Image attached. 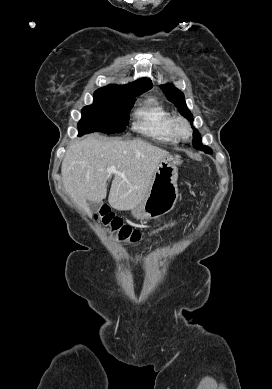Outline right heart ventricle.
I'll list each match as a JSON object with an SVG mask.
<instances>
[{
  "mask_svg": "<svg viewBox=\"0 0 272 389\" xmlns=\"http://www.w3.org/2000/svg\"><path fill=\"white\" fill-rule=\"evenodd\" d=\"M172 113L156 98L146 99L135 111V129L153 139L177 143L172 130Z\"/></svg>",
  "mask_w": 272,
  "mask_h": 389,
  "instance_id": "e07e8e85",
  "label": "right heart ventricle"
}]
</instances>
